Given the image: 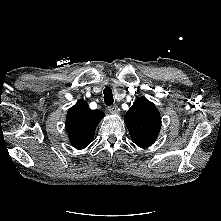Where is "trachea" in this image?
Instances as JSON below:
<instances>
[{"label": "trachea", "mask_w": 221, "mask_h": 221, "mask_svg": "<svg viewBox=\"0 0 221 221\" xmlns=\"http://www.w3.org/2000/svg\"><path fill=\"white\" fill-rule=\"evenodd\" d=\"M104 102L107 106H111L114 102L112 89L110 87H106L104 89Z\"/></svg>", "instance_id": "obj_1"}]
</instances>
